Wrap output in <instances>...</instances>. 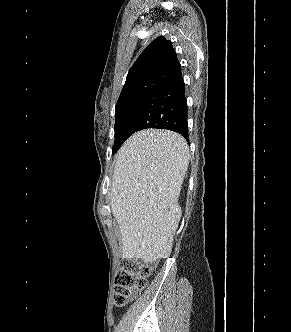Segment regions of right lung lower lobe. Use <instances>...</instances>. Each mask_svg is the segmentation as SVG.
I'll return each mask as SVG.
<instances>
[{
    "label": "right lung lower lobe",
    "instance_id": "98d812e1",
    "mask_svg": "<svg viewBox=\"0 0 291 332\" xmlns=\"http://www.w3.org/2000/svg\"><path fill=\"white\" fill-rule=\"evenodd\" d=\"M187 101L182 74H178L149 92L133 110L124 134L158 128L175 131L188 140Z\"/></svg>",
    "mask_w": 291,
    "mask_h": 332
}]
</instances>
